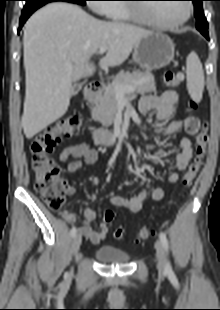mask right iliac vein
<instances>
[{
    "label": "right iliac vein",
    "instance_id": "right-iliac-vein-1",
    "mask_svg": "<svg viewBox=\"0 0 220 310\" xmlns=\"http://www.w3.org/2000/svg\"><path fill=\"white\" fill-rule=\"evenodd\" d=\"M80 246H81V235L76 234L73 238V241H72V249H73L74 255L78 254ZM71 274H72V272H71Z\"/></svg>",
    "mask_w": 220,
    "mask_h": 310
}]
</instances>
